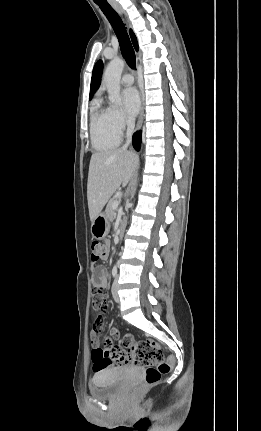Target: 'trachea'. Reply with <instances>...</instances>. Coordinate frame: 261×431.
I'll return each instance as SVG.
<instances>
[{"label": "trachea", "instance_id": "3493384b", "mask_svg": "<svg viewBox=\"0 0 261 431\" xmlns=\"http://www.w3.org/2000/svg\"><path fill=\"white\" fill-rule=\"evenodd\" d=\"M101 11L104 13V15L109 20L117 38L120 44V49L123 57L125 58L128 66L132 69L136 66V57L135 53L132 47V44L130 42L128 33L126 31V28L120 18V16L117 14V12L108 4H101L97 3Z\"/></svg>", "mask_w": 261, "mask_h": 431}]
</instances>
